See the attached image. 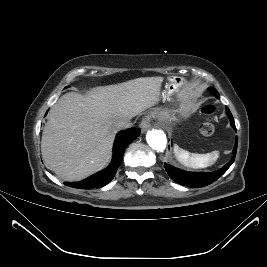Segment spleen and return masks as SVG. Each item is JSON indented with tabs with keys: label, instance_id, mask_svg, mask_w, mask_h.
Returning <instances> with one entry per match:
<instances>
[{
	"label": "spleen",
	"instance_id": "3e777b00",
	"mask_svg": "<svg viewBox=\"0 0 267 267\" xmlns=\"http://www.w3.org/2000/svg\"><path fill=\"white\" fill-rule=\"evenodd\" d=\"M174 154L179 163L192 169H201L211 166L219 157V151L216 150L206 154H197L190 153L177 145L174 146Z\"/></svg>",
	"mask_w": 267,
	"mask_h": 267
}]
</instances>
